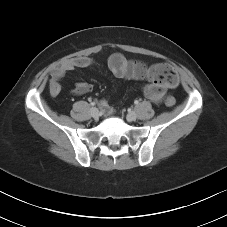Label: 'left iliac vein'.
<instances>
[{
  "label": "left iliac vein",
  "instance_id": "obj_1",
  "mask_svg": "<svg viewBox=\"0 0 227 227\" xmlns=\"http://www.w3.org/2000/svg\"><path fill=\"white\" fill-rule=\"evenodd\" d=\"M136 118H137V114H136V112H134V111H130V112L127 114V120H128V121H134V120H136Z\"/></svg>",
  "mask_w": 227,
  "mask_h": 227
}]
</instances>
